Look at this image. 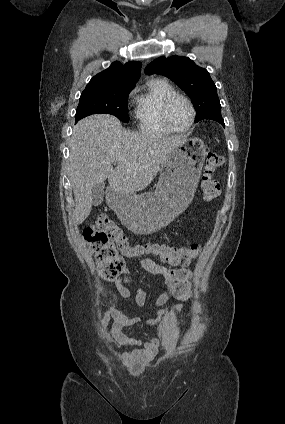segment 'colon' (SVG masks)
<instances>
[{"instance_id":"colon-1","label":"colon","mask_w":285,"mask_h":424,"mask_svg":"<svg viewBox=\"0 0 285 424\" xmlns=\"http://www.w3.org/2000/svg\"><path fill=\"white\" fill-rule=\"evenodd\" d=\"M223 162V157L218 153L207 152L200 183L203 198L206 200H214L221 193L215 173ZM83 238L95 255L100 273L107 279L115 278L123 272L125 258L154 255L171 265H188L201 253V246L198 244L190 246H170L158 243L133 245L124 231L103 214L97 215L94 222L84 229Z\"/></svg>"}]
</instances>
